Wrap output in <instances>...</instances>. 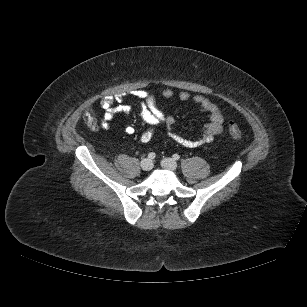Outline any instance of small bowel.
I'll use <instances>...</instances> for the list:
<instances>
[{"label": "small bowel", "instance_id": "c3829d8e", "mask_svg": "<svg viewBox=\"0 0 307 307\" xmlns=\"http://www.w3.org/2000/svg\"><path fill=\"white\" fill-rule=\"evenodd\" d=\"M173 95L174 93L170 89L161 92L163 98H171ZM136 96L142 99V102L140 103V116L143 123L149 126H157L162 123L165 124L168 136L185 147H199L208 144L223 131L224 117L220 109L214 102L202 95L191 97V94L187 91H182L178 95L181 101L192 99V101L208 115L209 121L205 124L202 134L193 140L188 139L175 131L174 118L164 115L157 106L154 94L146 91H139ZM121 99V96L117 98V100ZM113 103L114 99L112 97H105L100 101V106L104 111L103 120L100 124L103 129L109 128V123L113 120L115 115L118 113H128L130 111L129 107L126 105L114 106ZM92 129H97V125L93 126ZM125 131L127 134L131 135L134 134L135 129L132 125H127Z\"/></svg>", "mask_w": 307, "mask_h": 307}]
</instances>
